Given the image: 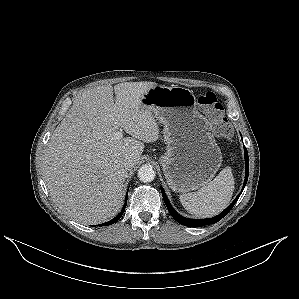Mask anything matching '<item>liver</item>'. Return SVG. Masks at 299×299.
Returning a JSON list of instances; mask_svg holds the SVG:
<instances>
[{
	"instance_id": "1",
	"label": "liver",
	"mask_w": 299,
	"mask_h": 299,
	"mask_svg": "<svg viewBox=\"0 0 299 299\" xmlns=\"http://www.w3.org/2000/svg\"><path fill=\"white\" fill-rule=\"evenodd\" d=\"M156 85L124 82L114 88H91L75 97L42 159L50 196L65 215L93 225L112 219L121 210L128 171L137 165L144 143L159 137L152 112L141 101ZM120 129L131 137L117 139ZM126 157L132 159L128 168L122 165Z\"/></svg>"
}]
</instances>
